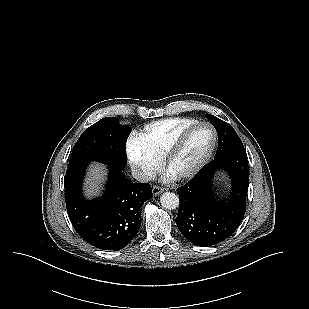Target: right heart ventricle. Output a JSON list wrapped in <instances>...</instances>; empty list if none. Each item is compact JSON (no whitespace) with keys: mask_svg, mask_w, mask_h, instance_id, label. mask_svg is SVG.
<instances>
[{"mask_svg":"<svg viewBox=\"0 0 309 309\" xmlns=\"http://www.w3.org/2000/svg\"><path fill=\"white\" fill-rule=\"evenodd\" d=\"M192 118H169L152 122L138 135V141L158 159H162L176 138L192 123Z\"/></svg>","mask_w":309,"mask_h":309,"instance_id":"1","label":"right heart ventricle"}]
</instances>
